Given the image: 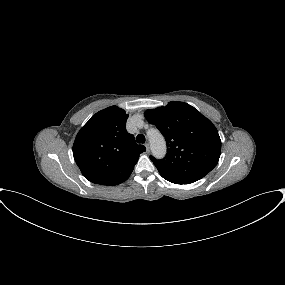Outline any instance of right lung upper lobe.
Returning <instances> with one entry per match:
<instances>
[{
    "mask_svg": "<svg viewBox=\"0 0 285 285\" xmlns=\"http://www.w3.org/2000/svg\"><path fill=\"white\" fill-rule=\"evenodd\" d=\"M128 115L117 106L93 115L78 132L73 155L85 178L95 184L118 185L131 175L146 151L126 131Z\"/></svg>",
    "mask_w": 285,
    "mask_h": 285,
    "instance_id": "cb5924a9",
    "label": "right lung upper lobe"
}]
</instances>
